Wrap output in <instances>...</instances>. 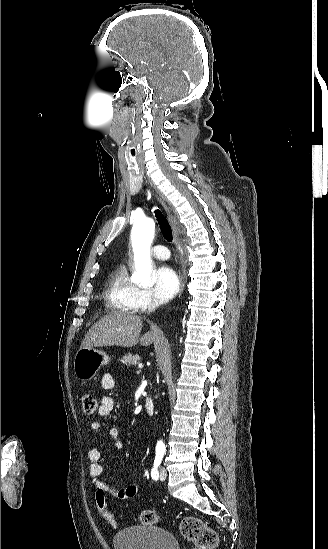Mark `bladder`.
I'll list each match as a JSON object with an SVG mask.
<instances>
[{"mask_svg": "<svg viewBox=\"0 0 328 549\" xmlns=\"http://www.w3.org/2000/svg\"><path fill=\"white\" fill-rule=\"evenodd\" d=\"M113 544L116 549H177L172 533L152 526L126 528Z\"/></svg>", "mask_w": 328, "mask_h": 549, "instance_id": "31cf9c89", "label": "bladder"}]
</instances>
